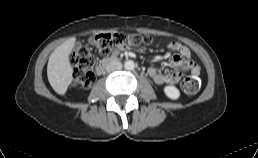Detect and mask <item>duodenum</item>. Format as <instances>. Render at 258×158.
Listing matches in <instances>:
<instances>
[{
  "label": "duodenum",
  "instance_id": "duodenum-1",
  "mask_svg": "<svg viewBox=\"0 0 258 158\" xmlns=\"http://www.w3.org/2000/svg\"><path fill=\"white\" fill-rule=\"evenodd\" d=\"M117 60H118V58L115 57V56H108V57H106L105 59H103V60L97 65V67H96V69H95V73H96L97 75H101V74L105 71V69H106V67H107L108 65H110L111 63L116 62Z\"/></svg>",
  "mask_w": 258,
  "mask_h": 158
}]
</instances>
